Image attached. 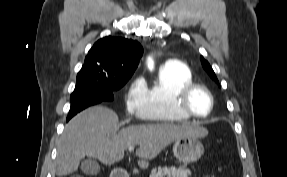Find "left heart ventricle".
<instances>
[{
	"instance_id": "1",
	"label": "left heart ventricle",
	"mask_w": 287,
	"mask_h": 177,
	"mask_svg": "<svg viewBox=\"0 0 287 177\" xmlns=\"http://www.w3.org/2000/svg\"><path fill=\"white\" fill-rule=\"evenodd\" d=\"M192 110L201 116L206 115L210 109V99L203 90H196L190 98Z\"/></svg>"
}]
</instances>
